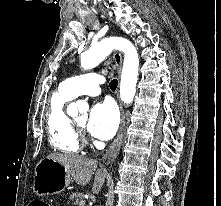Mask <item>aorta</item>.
Listing matches in <instances>:
<instances>
[{
	"instance_id": "aorta-1",
	"label": "aorta",
	"mask_w": 221,
	"mask_h": 206,
	"mask_svg": "<svg viewBox=\"0 0 221 206\" xmlns=\"http://www.w3.org/2000/svg\"><path fill=\"white\" fill-rule=\"evenodd\" d=\"M114 49L124 53V63L120 82L121 100L130 104L133 101L139 74V57L133 44L122 37H108L92 45L81 54V67L85 70L99 65ZM88 104L85 101L72 103L69 111H87Z\"/></svg>"
}]
</instances>
